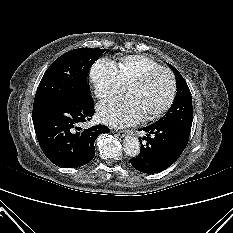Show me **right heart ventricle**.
<instances>
[{
  "label": "right heart ventricle",
  "instance_id": "obj_1",
  "mask_svg": "<svg viewBox=\"0 0 233 233\" xmlns=\"http://www.w3.org/2000/svg\"><path fill=\"white\" fill-rule=\"evenodd\" d=\"M155 67H160V65L155 60L145 55L126 56L117 64V69L123 83H129L144 71Z\"/></svg>",
  "mask_w": 233,
  "mask_h": 233
}]
</instances>
